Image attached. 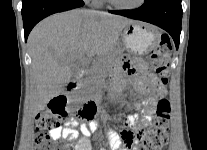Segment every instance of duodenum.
<instances>
[{"mask_svg": "<svg viewBox=\"0 0 207 150\" xmlns=\"http://www.w3.org/2000/svg\"><path fill=\"white\" fill-rule=\"evenodd\" d=\"M79 87V81L78 80H73L71 82L68 83L67 85V90L68 91H74L76 90L77 88ZM95 107H94V104L92 102H89L85 107L84 109L85 110H93Z\"/></svg>", "mask_w": 207, "mask_h": 150, "instance_id": "410a0bca", "label": "duodenum"}]
</instances>
